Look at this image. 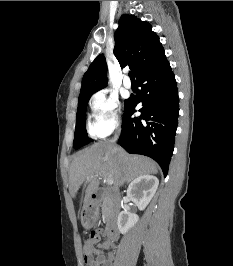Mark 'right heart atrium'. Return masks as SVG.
Returning a JSON list of instances; mask_svg holds the SVG:
<instances>
[{
    "instance_id": "right-heart-atrium-1",
    "label": "right heart atrium",
    "mask_w": 233,
    "mask_h": 266,
    "mask_svg": "<svg viewBox=\"0 0 233 266\" xmlns=\"http://www.w3.org/2000/svg\"><path fill=\"white\" fill-rule=\"evenodd\" d=\"M90 108L89 133L91 136L106 137L120 127V103L113 93L107 90L98 91L90 101Z\"/></svg>"
}]
</instances>
